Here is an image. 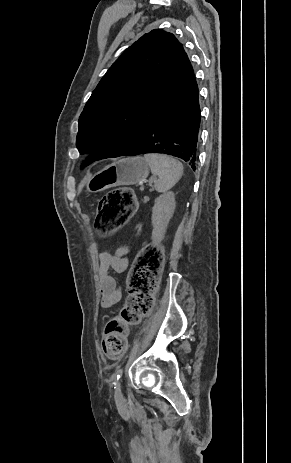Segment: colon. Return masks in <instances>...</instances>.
<instances>
[{"label": "colon", "mask_w": 291, "mask_h": 463, "mask_svg": "<svg viewBox=\"0 0 291 463\" xmlns=\"http://www.w3.org/2000/svg\"><path fill=\"white\" fill-rule=\"evenodd\" d=\"M133 191L120 187L106 193L98 204L96 229L110 233L131 218L136 210ZM163 266V251L157 245H147L138 253L127 277L128 297L120 316L108 321L102 337V349L106 356L119 358L126 348L129 324L138 323L148 315L154 304L159 276Z\"/></svg>", "instance_id": "obj_1"}]
</instances>
